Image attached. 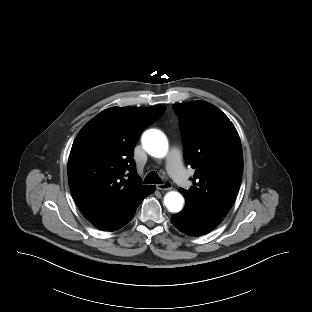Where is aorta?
I'll list each match as a JSON object with an SVG mask.
<instances>
[{"mask_svg": "<svg viewBox=\"0 0 312 312\" xmlns=\"http://www.w3.org/2000/svg\"><path fill=\"white\" fill-rule=\"evenodd\" d=\"M142 144L144 149L157 158L164 157L168 151V140L159 130L150 129L143 134ZM183 196L175 191L168 192L164 197V204L171 212H179L183 207Z\"/></svg>", "mask_w": 312, "mask_h": 312, "instance_id": "1", "label": "aorta"}]
</instances>
